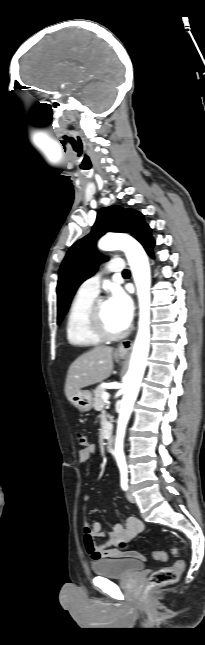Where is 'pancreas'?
<instances>
[{
  "instance_id": "1",
  "label": "pancreas",
  "mask_w": 205,
  "mask_h": 645,
  "mask_svg": "<svg viewBox=\"0 0 205 645\" xmlns=\"http://www.w3.org/2000/svg\"><path fill=\"white\" fill-rule=\"evenodd\" d=\"M104 392H106V391H105V389H104L103 387H101V386H98V387L94 390V392H93V394H94V397H93V407H94V408H95V410H97V411H102V410H103V408H104V406H105V402H104V400L102 399V395H103V393H104Z\"/></svg>"
}]
</instances>
